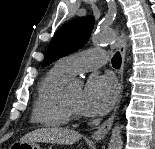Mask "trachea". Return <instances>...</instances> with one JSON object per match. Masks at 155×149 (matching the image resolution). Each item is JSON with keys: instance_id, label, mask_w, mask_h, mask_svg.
<instances>
[{"instance_id": "1", "label": "trachea", "mask_w": 155, "mask_h": 149, "mask_svg": "<svg viewBox=\"0 0 155 149\" xmlns=\"http://www.w3.org/2000/svg\"><path fill=\"white\" fill-rule=\"evenodd\" d=\"M112 66L114 68H120L121 66V55L117 52L112 58Z\"/></svg>"}]
</instances>
